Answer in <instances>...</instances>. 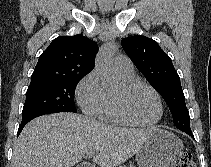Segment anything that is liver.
I'll return each mask as SVG.
<instances>
[{"label": "liver", "instance_id": "obj_1", "mask_svg": "<svg viewBox=\"0 0 211 167\" xmlns=\"http://www.w3.org/2000/svg\"><path fill=\"white\" fill-rule=\"evenodd\" d=\"M155 127H112L75 113L40 116L22 130L11 167H72L87 152L100 167H114L136 154Z\"/></svg>", "mask_w": 211, "mask_h": 167}]
</instances>
